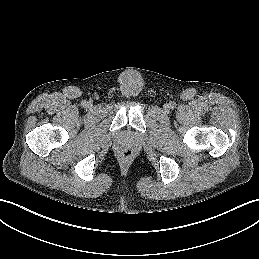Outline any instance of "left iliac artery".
<instances>
[{
  "label": "left iliac artery",
  "instance_id": "obj_1",
  "mask_svg": "<svg viewBox=\"0 0 259 259\" xmlns=\"http://www.w3.org/2000/svg\"><path fill=\"white\" fill-rule=\"evenodd\" d=\"M175 106H176V103H175V102H171V103H170V107H171V108H174Z\"/></svg>",
  "mask_w": 259,
  "mask_h": 259
}]
</instances>
